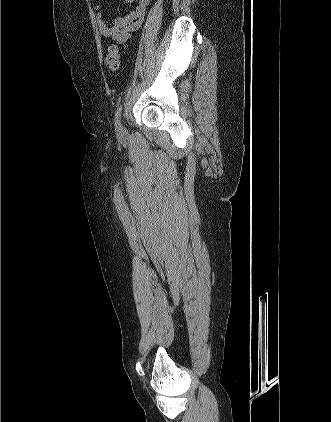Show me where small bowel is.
<instances>
[{
  "label": "small bowel",
  "mask_w": 331,
  "mask_h": 422,
  "mask_svg": "<svg viewBox=\"0 0 331 422\" xmlns=\"http://www.w3.org/2000/svg\"><path fill=\"white\" fill-rule=\"evenodd\" d=\"M126 2L135 3V8L127 15L115 19L112 24L106 23L102 5L100 3L94 5L99 32L120 44L127 42L132 32L140 27L150 0H126Z\"/></svg>",
  "instance_id": "c3829d8e"
}]
</instances>
